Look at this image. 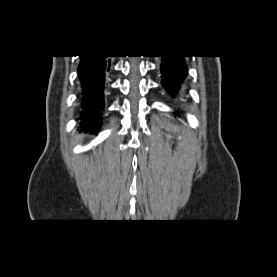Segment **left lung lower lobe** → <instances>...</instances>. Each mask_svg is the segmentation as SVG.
<instances>
[{"label": "left lung lower lobe", "mask_w": 277, "mask_h": 277, "mask_svg": "<svg viewBox=\"0 0 277 277\" xmlns=\"http://www.w3.org/2000/svg\"><path fill=\"white\" fill-rule=\"evenodd\" d=\"M184 56H162L160 70L163 73L162 85L170 93L174 94L180 87L187 73Z\"/></svg>", "instance_id": "left-lung-lower-lobe-1"}]
</instances>
